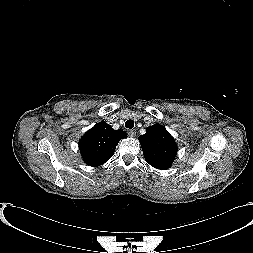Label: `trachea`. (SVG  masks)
<instances>
[{"label": "trachea", "instance_id": "obj_1", "mask_svg": "<svg viewBox=\"0 0 253 253\" xmlns=\"http://www.w3.org/2000/svg\"><path fill=\"white\" fill-rule=\"evenodd\" d=\"M125 127L126 128H129V129H132L134 127V121L129 119L125 122Z\"/></svg>", "mask_w": 253, "mask_h": 253}]
</instances>
